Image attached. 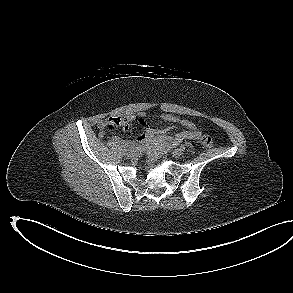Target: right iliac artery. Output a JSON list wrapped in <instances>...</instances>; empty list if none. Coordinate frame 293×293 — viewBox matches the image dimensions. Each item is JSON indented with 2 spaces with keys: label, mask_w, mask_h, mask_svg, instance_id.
Instances as JSON below:
<instances>
[{
  "label": "right iliac artery",
  "mask_w": 293,
  "mask_h": 293,
  "mask_svg": "<svg viewBox=\"0 0 293 293\" xmlns=\"http://www.w3.org/2000/svg\"><path fill=\"white\" fill-rule=\"evenodd\" d=\"M139 148L140 147H135V146H132V145L131 146L130 145H127V146H124L122 150L126 152V151H129V150H135V149H139Z\"/></svg>",
  "instance_id": "82829eb1"
}]
</instances>
